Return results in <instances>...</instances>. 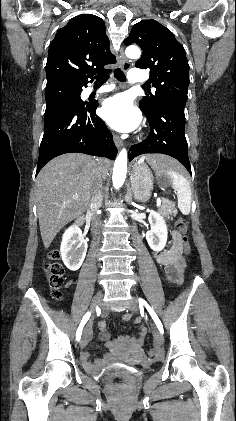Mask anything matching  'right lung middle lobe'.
<instances>
[{
    "mask_svg": "<svg viewBox=\"0 0 236 421\" xmlns=\"http://www.w3.org/2000/svg\"><path fill=\"white\" fill-rule=\"evenodd\" d=\"M81 88L62 86V85H50L46 86L45 99H46V110L51 108L68 105L72 107H82L85 102L80 98Z\"/></svg>",
    "mask_w": 236,
    "mask_h": 421,
    "instance_id": "right-lung-middle-lobe-1",
    "label": "right lung middle lobe"
}]
</instances>
